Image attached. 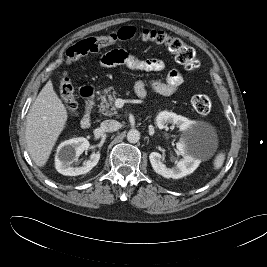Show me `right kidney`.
<instances>
[{
  "instance_id": "1",
  "label": "right kidney",
  "mask_w": 267,
  "mask_h": 267,
  "mask_svg": "<svg viewBox=\"0 0 267 267\" xmlns=\"http://www.w3.org/2000/svg\"><path fill=\"white\" fill-rule=\"evenodd\" d=\"M88 148H90L88 140L82 137L72 138L61 143L58 147V155L55 159L56 170L65 176H77L88 173L97 165L100 159L99 152H93L90 155V159L85 162L83 166H72L76 158Z\"/></svg>"
}]
</instances>
